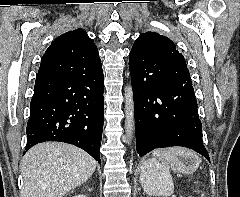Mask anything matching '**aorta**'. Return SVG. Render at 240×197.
<instances>
[{"mask_svg": "<svg viewBox=\"0 0 240 197\" xmlns=\"http://www.w3.org/2000/svg\"><path fill=\"white\" fill-rule=\"evenodd\" d=\"M125 131L126 137L131 138L134 130V101L132 86L128 85L125 88Z\"/></svg>", "mask_w": 240, "mask_h": 197, "instance_id": "762f6f07", "label": "aorta"}]
</instances>
